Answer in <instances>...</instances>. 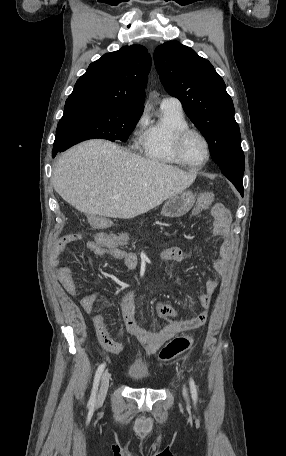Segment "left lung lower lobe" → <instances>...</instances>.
Instances as JSON below:
<instances>
[{
    "label": "left lung lower lobe",
    "instance_id": "left-lung-lower-lobe-1",
    "mask_svg": "<svg viewBox=\"0 0 286 456\" xmlns=\"http://www.w3.org/2000/svg\"><path fill=\"white\" fill-rule=\"evenodd\" d=\"M223 174L235 185L236 189L243 196V174L233 171L223 172Z\"/></svg>",
    "mask_w": 286,
    "mask_h": 456
}]
</instances>
